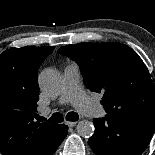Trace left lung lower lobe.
<instances>
[{
    "instance_id": "left-lung-lower-lobe-1",
    "label": "left lung lower lobe",
    "mask_w": 155,
    "mask_h": 155,
    "mask_svg": "<svg viewBox=\"0 0 155 155\" xmlns=\"http://www.w3.org/2000/svg\"><path fill=\"white\" fill-rule=\"evenodd\" d=\"M88 144L96 155H140L155 129V116H112L94 119Z\"/></svg>"
}]
</instances>
